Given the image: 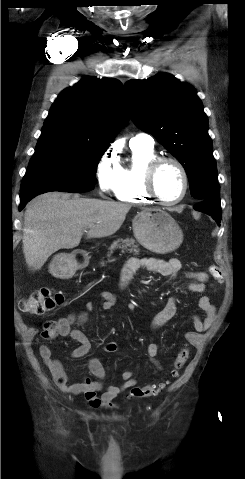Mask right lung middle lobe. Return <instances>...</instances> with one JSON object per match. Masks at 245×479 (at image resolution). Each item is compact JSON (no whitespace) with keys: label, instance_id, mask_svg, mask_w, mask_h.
<instances>
[{"label":"right lung middle lobe","instance_id":"obj_1","mask_svg":"<svg viewBox=\"0 0 245 479\" xmlns=\"http://www.w3.org/2000/svg\"><path fill=\"white\" fill-rule=\"evenodd\" d=\"M108 148L61 132H42L20 192L53 187L72 192L94 188L96 169Z\"/></svg>","mask_w":245,"mask_h":479}]
</instances>
